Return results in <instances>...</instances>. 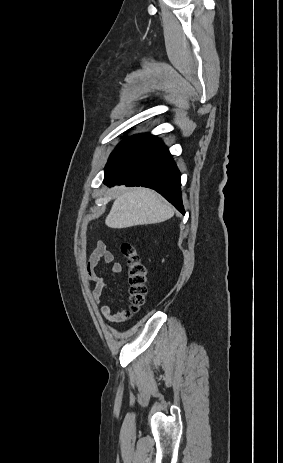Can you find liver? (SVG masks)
I'll return each mask as SVG.
<instances>
[{
	"instance_id": "obj_1",
	"label": "liver",
	"mask_w": 283,
	"mask_h": 463,
	"mask_svg": "<svg viewBox=\"0 0 283 463\" xmlns=\"http://www.w3.org/2000/svg\"><path fill=\"white\" fill-rule=\"evenodd\" d=\"M116 196L105 224L114 229L164 222L174 210L156 192L147 188L115 187Z\"/></svg>"
}]
</instances>
